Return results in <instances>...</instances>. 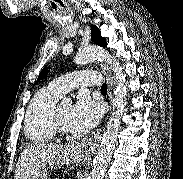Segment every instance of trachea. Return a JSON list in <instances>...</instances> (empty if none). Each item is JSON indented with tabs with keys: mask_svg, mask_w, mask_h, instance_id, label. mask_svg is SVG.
Instances as JSON below:
<instances>
[{
	"mask_svg": "<svg viewBox=\"0 0 183 179\" xmlns=\"http://www.w3.org/2000/svg\"><path fill=\"white\" fill-rule=\"evenodd\" d=\"M101 91H107V85H106V83H104V84L101 86Z\"/></svg>",
	"mask_w": 183,
	"mask_h": 179,
	"instance_id": "trachea-1",
	"label": "trachea"
}]
</instances>
